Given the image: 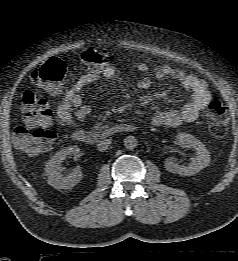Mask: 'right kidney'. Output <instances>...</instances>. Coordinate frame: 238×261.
I'll return each mask as SVG.
<instances>
[{
  "instance_id": "obj_1",
  "label": "right kidney",
  "mask_w": 238,
  "mask_h": 261,
  "mask_svg": "<svg viewBox=\"0 0 238 261\" xmlns=\"http://www.w3.org/2000/svg\"><path fill=\"white\" fill-rule=\"evenodd\" d=\"M80 149L77 146H69L51 157L46 162L45 174L47 175V183L55 189H70L78 184L82 177V170L79 166L73 169L69 175H63L61 166L62 162L69 156L77 158L79 156Z\"/></svg>"
}]
</instances>
